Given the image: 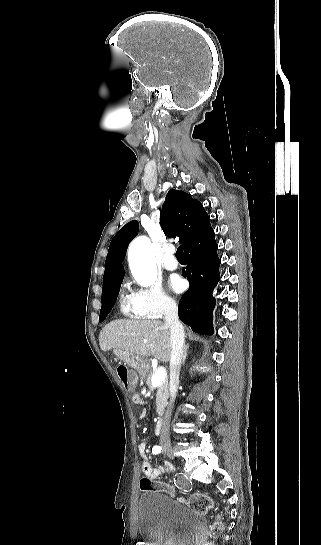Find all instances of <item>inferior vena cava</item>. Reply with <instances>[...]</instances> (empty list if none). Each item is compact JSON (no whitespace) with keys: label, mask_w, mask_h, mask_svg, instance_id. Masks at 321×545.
Instances as JSON below:
<instances>
[{"label":"inferior vena cava","mask_w":321,"mask_h":545,"mask_svg":"<svg viewBox=\"0 0 321 545\" xmlns=\"http://www.w3.org/2000/svg\"><path fill=\"white\" fill-rule=\"evenodd\" d=\"M164 319L166 327H169L171 333V349L172 355L170 359V401L168 403L167 411L164 415V419L161 425L160 431V447L164 451H169L172 448L169 435V423L171 417V411L173 409V403L176 399V393L179 387V375L181 369V363L183 359V353L185 349V333L184 327L181 325L178 319L177 305L172 299H167L164 305Z\"/></svg>","instance_id":"obj_1"}]
</instances>
